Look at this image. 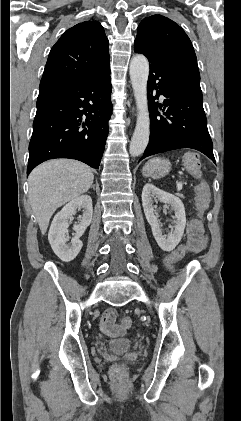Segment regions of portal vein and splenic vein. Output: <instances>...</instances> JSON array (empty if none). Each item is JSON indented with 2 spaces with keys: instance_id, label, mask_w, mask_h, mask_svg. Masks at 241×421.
Segmentation results:
<instances>
[{
  "instance_id": "18ae733b",
  "label": "portal vein and splenic vein",
  "mask_w": 241,
  "mask_h": 421,
  "mask_svg": "<svg viewBox=\"0 0 241 421\" xmlns=\"http://www.w3.org/2000/svg\"><path fill=\"white\" fill-rule=\"evenodd\" d=\"M182 189V182H177V190L181 191Z\"/></svg>"
}]
</instances>
